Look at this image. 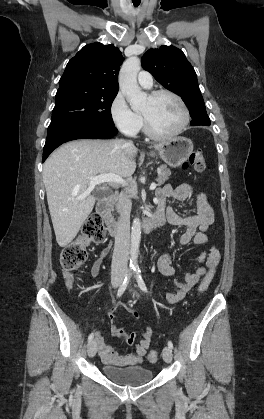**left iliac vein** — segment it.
Returning <instances> with one entry per match:
<instances>
[{"label":"left iliac vein","instance_id":"left-iliac-vein-1","mask_svg":"<svg viewBox=\"0 0 264 419\" xmlns=\"http://www.w3.org/2000/svg\"><path fill=\"white\" fill-rule=\"evenodd\" d=\"M162 356L165 362L170 363L172 361V350L169 347H165L162 352Z\"/></svg>","mask_w":264,"mask_h":419}]
</instances>
